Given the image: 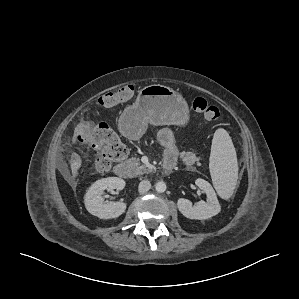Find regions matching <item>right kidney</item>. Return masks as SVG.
<instances>
[{
	"label": "right kidney",
	"mask_w": 299,
	"mask_h": 299,
	"mask_svg": "<svg viewBox=\"0 0 299 299\" xmlns=\"http://www.w3.org/2000/svg\"><path fill=\"white\" fill-rule=\"evenodd\" d=\"M125 181L118 177H108L94 182L85 194V207L89 213L100 219H112L122 215L127 205L124 202H105L102 194L108 190H122Z\"/></svg>",
	"instance_id": "ca27d5eb"
}]
</instances>
